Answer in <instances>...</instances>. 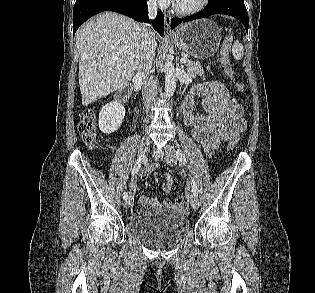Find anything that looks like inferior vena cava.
<instances>
[{
	"label": "inferior vena cava",
	"mask_w": 315,
	"mask_h": 293,
	"mask_svg": "<svg viewBox=\"0 0 315 293\" xmlns=\"http://www.w3.org/2000/svg\"><path fill=\"white\" fill-rule=\"evenodd\" d=\"M148 15L154 19L157 15L156 0H148ZM154 33L149 24L143 26V47L141 61L137 67L136 77L142 80V96L145 106L148 107L157 95V81L149 78L152 62L155 56Z\"/></svg>",
	"instance_id": "1"
}]
</instances>
